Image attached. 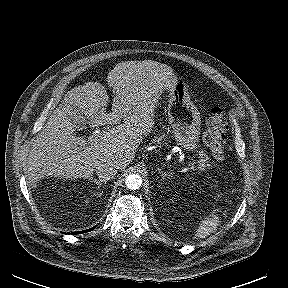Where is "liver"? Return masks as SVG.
<instances>
[{
	"label": "liver",
	"instance_id": "6515ba94",
	"mask_svg": "<svg viewBox=\"0 0 288 288\" xmlns=\"http://www.w3.org/2000/svg\"><path fill=\"white\" fill-rule=\"evenodd\" d=\"M173 79L170 66L152 60L116 65L107 76L115 92L110 113H106L108 95L100 83L74 87L64 98L68 110L83 112L91 128L115 126H108L90 142L76 135L67 108H56L30 149L27 182L35 186L46 176L91 178L97 163L105 160L125 169L143 136L152 132L158 99Z\"/></svg>",
	"mask_w": 288,
	"mask_h": 288
}]
</instances>
